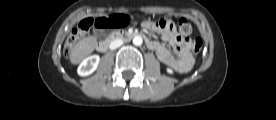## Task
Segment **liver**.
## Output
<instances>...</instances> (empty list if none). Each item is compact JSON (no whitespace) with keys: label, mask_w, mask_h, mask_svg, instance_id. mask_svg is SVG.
<instances>
[{"label":"liver","mask_w":276,"mask_h":120,"mask_svg":"<svg viewBox=\"0 0 276 120\" xmlns=\"http://www.w3.org/2000/svg\"><path fill=\"white\" fill-rule=\"evenodd\" d=\"M96 45V39L92 36L80 40L70 49L69 58L72 64H78L87 55L93 52Z\"/></svg>","instance_id":"obj_1"}]
</instances>
